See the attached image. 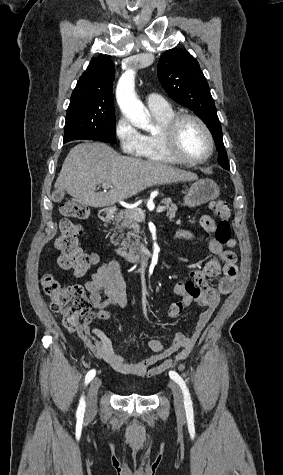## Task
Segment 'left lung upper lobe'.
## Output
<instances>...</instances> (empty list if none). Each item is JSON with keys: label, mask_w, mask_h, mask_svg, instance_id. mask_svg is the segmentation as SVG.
I'll list each match as a JSON object with an SVG mask.
<instances>
[{"label": "left lung upper lobe", "mask_w": 283, "mask_h": 475, "mask_svg": "<svg viewBox=\"0 0 283 475\" xmlns=\"http://www.w3.org/2000/svg\"><path fill=\"white\" fill-rule=\"evenodd\" d=\"M157 70L169 96L202 119L212 135L222 136L216 107L197 60L185 49L175 48L162 54Z\"/></svg>", "instance_id": "1"}]
</instances>
